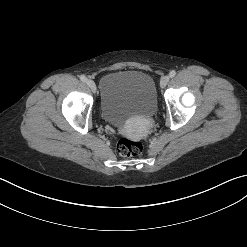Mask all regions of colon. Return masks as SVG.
<instances>
[{
  "instance_id": "1",
  "label": "colon",
  "mask_w": 247,
  "mask_h": 247,
  "mask_svg": "<svg viewBox=\"0 0 247 247\" xmlns=\"http://www.w3.org/2000/svg\"><path fill=\"white\" fill-rule=\"evenodd\" d=\"M140 141L123 138L118 142L117 151L123 157H134L142 152Z\"/></svg>"
}]
</instances>
